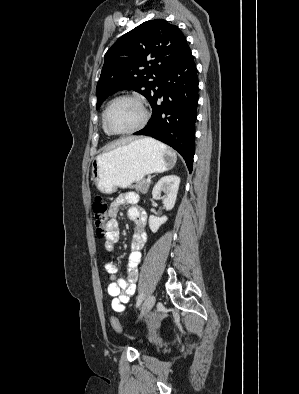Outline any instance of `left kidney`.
<instances>
[{"mask_svg": "<svg viewBox=\"0 0 299 394\" xmlns=\"http://www.w3.org/2000/svg\"><path fill=\"white\" fill-rule=\"evenodd\" d=\"M180 178L176 175H168L162 177L154 186L152 190L153 199H157L160 197L161 192H164L165 195L162 197L163 204L165 209L171 210L173 209L177 193L179 189ZM166 216L156 217L154 215H150L149 217V227L153 233H156L159 227L167 221Z\"/></svg>", "mask_w": 299, "mask_h": 394, "instance_id": "left-kidney-1", "label": "left kidney"}]
</instances>
